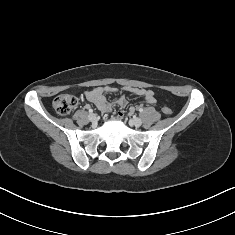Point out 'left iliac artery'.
I'll return each mask as SVG.
<instances>
[{"mask_svg": "<svg viewBox=\"0 0 235 235\" xmlns=\"http://www.w3.org/2000/svg\"><path fill=\"white\" fill-rule=\"evenodd\" d=\"M139 111L142 112V111H143V108H139Z\"/></svg>", "mask_w": 235, "mask_h": 235, "instance_id": "left-iliac-artery-1", "label": "left iliac artery"}]
</instances>
